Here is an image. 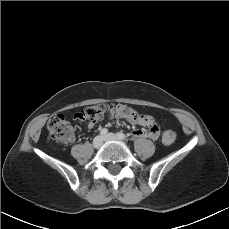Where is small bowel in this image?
I'll use <instances>...</instances> for the list:
<instances>
[{"instance_id": "1", "label": "small bowel", "mask_w": 229, "mask_h": 229, "mask_svg": "<svg viewBox=\"0 0 229 229\" xmlns=\"http://www.w3.org/2000/svg\"><path fill=\"white\" fill-rule=\"evenodd\" d=\"M129 121H131L134 124L140 125V126L151 127L150 129L138 128L134 130L133 135L135 137L150 138V139L157 138L158 133L153 128L154 120L151 116L146 115V114H141V115H138L136 118H129ZM87 125H88V128L91 129L96 125V122L88 121Z\"/></svg>"}]
</instances>
